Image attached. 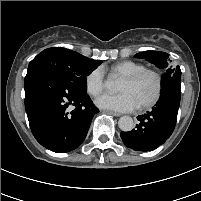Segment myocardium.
<instances>
[{"label":"myocardium","mask_w":201,"mask_h":201,"mask_svg":"<svg viewBox=\"0 0 201 201\" xmlns=\"http://www.w3.org/2000/svg\"><path fill=\"white\" fill-rule=\"evenodd\" d=\"M146 75H151L155 79L156 87L153 96L145 103L138 105L137 107L141 110L149 109L154 106L161 97L163 90V78L162 75L155 69L145 68L134 74L123 77V80L134 83L140 80Z\"/></svg>","instance_id":"f54148a6"}]
</instances>
